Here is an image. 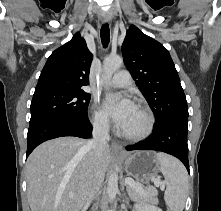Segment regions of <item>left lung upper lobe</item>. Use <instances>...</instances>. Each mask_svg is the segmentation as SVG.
<instances>
[{
  "instance_id": "1",
  "label": "left lung upper lobe",
  "mask_w": 221,
  "mask_h": 211,
  "mask_svg": "<svg viewBox=\"0 0 221 211\" xmlns=\"http://www.w3.org/2000/svg\"><path fill=\"white\" fill-rule=\"evenodd\" d=\"M127 69L156 117L155 126L177 117H188L180 79L168 50L132 25L122 45Z\"/></svg>"
}]
</instances>
